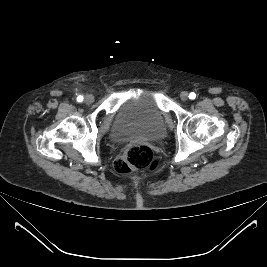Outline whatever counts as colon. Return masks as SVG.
<instances>
[{"label": "colon", "mask_w": 267, "mask_h": 267, "mask_svg": "<svg viewBox=\"0 0 267 267\" xmlns=\"http://www.w3.org/2000/svg\"><path fill=\"white\" fill-rule=\"evenodd\" d=\"M157 160L150 147L143 144L129 146L124 154L115 162V170L119 174H128L134 171L154 169Z\"/></svg>", "instance_id": "colon-1"}]
</instances>
